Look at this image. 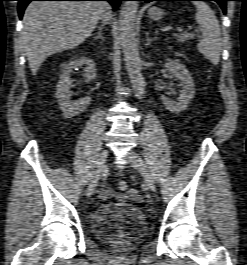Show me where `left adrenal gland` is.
Returning <instances> with one entry per match:
<instances>
[{"instance_id":"1","label":"left adrenal gland","mask_w":247,"mask_h":265,"mask_svg":"<svg viewBox=\"0 0 247 265\" xmlns=\"http://www.w3.org/2000/svg\"><path fill=\"white\" fill-rule=\"evenodd\" d=\"M155 38H150L149 33L146 32V46H149Z\"/></svg>"}]
</instances>
